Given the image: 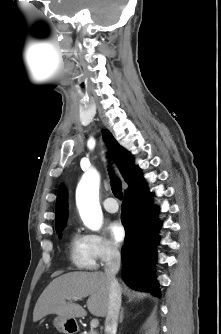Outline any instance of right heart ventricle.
Listing matches in <instances>:
<instances>
[{
	"instance_id": "right-heart-ventricle-1",
	"label": "right heart ventricle",
	"mask_w": 221,
	"mask_h": 334,
	"mask_svg": "<svg viewBox=\"0 0 221 334\" xmlns=\"http://www.w3.org/2000/svg\"><path fill=\"white\" fill-rule=\"evenodd\" d=\"M68 250L69 259L76 268L93 270L96 267V259L87 235L73 231L69 237Z\"/></svg>"
}]
</instances>
